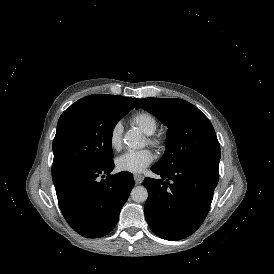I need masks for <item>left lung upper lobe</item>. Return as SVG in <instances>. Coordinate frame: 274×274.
<instances>
[{"label": "left lung upper lobe", "mask_w": 274, "mask_h": 274, "mask_svg": "<svg viewBox=\"0 0 274 274\" xmlns=\"http://www.w3.org/2000/svg\"><path fill=\"white\" fill-rule=\"evenodd\" d=\"M143 108L168 127L166 151L156 163L175 168L189 164L219 167L221 151L209 119L194 105L181 99L144 98L136 108Z\"/></svg>", "instance_id": "left-lung-upper-lobe-1"}]
</instances>
